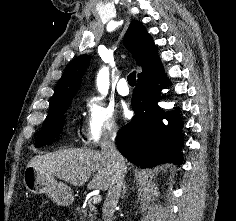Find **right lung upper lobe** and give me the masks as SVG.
I'll use <instances>...</instances> for the list:
<instances>
[{
    "label": "right lung upper lobe",
    "instance_id": "right-lung-upper-lobe-1",
    "mask_svg": "<svg viewBox=\"0 0 236 221\" xmlns=\"http://www.w3.org/2000/svg\"><path fill=\"white\" fill-rule=\"evenodd\" d=\"M124 43L132 53L137 64L143 69V71L138 74V78L153 72L160 65L157 48L151 35L146 31L141 22L133 20L130 23ZM89 61L90 56L82 55L75 58L67 65L63 76L56 85L54 95L51 98L49 111L73 99L80 86Z\"/></svg>",
    "mask_w": 236,
    "mask_h": 221
}]
</instances>
